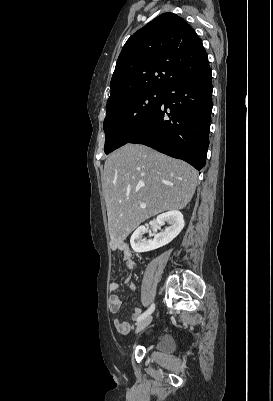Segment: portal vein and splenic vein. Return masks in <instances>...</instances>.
<instances>
[{"label": "portal vein and splenic vein", "mask_w": 273, "mask_h": 401, "mask_svg": "<svg viewBox=\"0 0 273 401\" xmlns=\"http://www.w3.org/2000/svg\"><path fill=\"white\" fill-rule=\"evenodd\" d=\"M169 184H172V182H169ZM140 207L141 209H146V205H144V203H140Z\"/></svg>", "instance_id": "obj_1"}]
</instances>
